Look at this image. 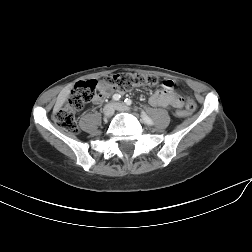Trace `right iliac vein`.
Returning a JSON list of instances; mask_svg holds the SVG:
<instances>
[{"mask_svg":"<svg viewBox=\"0 0 252 252\" xmlns=\"http://www.w3.org/2000/svg\"><path fill=\"white\" fill-rule=\"evenodd\" d=\"M114 113V105L112 103L107 104L103 109V115L105 119H109Z\"/></svg>","mask_w":252,"mask_h":252,"instance_id":"obj_1","label":"right iliac vein"}]
</instances>
